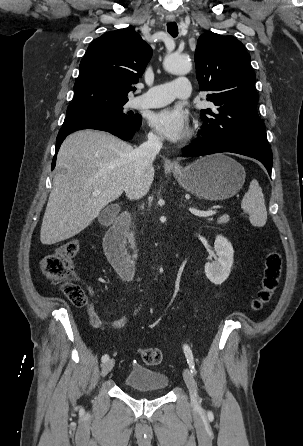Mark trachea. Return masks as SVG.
<instances>
[{
	"label": "trachea",
	"mask_w": 303,
	"mask_h": 446,
	"mask_svg": "<svg viewBox=\"0 0 303 446\" xmlns=\"http://www.w3.org/2000/svg\"><path fill=\"white\" fill-rule=\"evenodd\" d=\"M167 30L172 37H177L178 35V26L175 22H170L167 24Z\"/></svg>",
	"instance_id": "trachea-1"
}]
</instances>
